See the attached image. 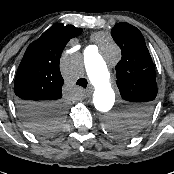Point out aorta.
Instances as JSON below:
<instances>
[{
	"mask_svg": "<svg viewBox=\"0 0 174 174\" xmlns=\"http://www.w3.org/2000/svg\"><path fill=\"white\" fill-rule=\"evenodd\" d=\"M104 56L108 62L116 63L120 57V49L110 39H106ZM85 68L87 75L94 86L93 103L101 115V125L111 132L113 123H118L124 113H110L115 100V94L110 83V73L105 60L99 55L85 53Z\"/></svg>",
	"mask_w": 174,
	"mask_h": 174,
	"instance_id": "762f6f07",
	"label": "aorta"
}]
</instances>
